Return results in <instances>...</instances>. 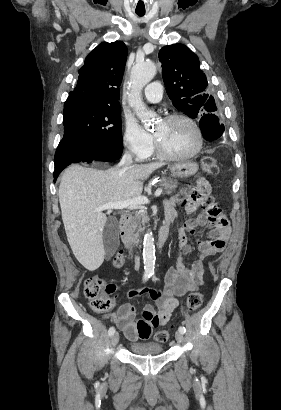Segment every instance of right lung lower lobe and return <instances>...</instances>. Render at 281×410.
Returning a JSON list of instances; mask_svg holds the SVG:
<instances>
[{
    "instance_id": "obj_1",
    "label": "right lung lower lobe",
    "mask_w": 281,
    "mask_h": 410,
    "mask_svg": "<svg viewBox=\"0 0 281 410\" xmlns=\"http://www.w3.org/2000/svg\"><path fill=\"white\" fill-rule=\"evenodd\" d=\"M121 154L122 148L116 147H90L64 152L55 158V170L53 173L54 182H56V179L60 172L71 163H91L92 161L113 162L119 159L121 157Z\"/></svg>"
}]
</instances>
